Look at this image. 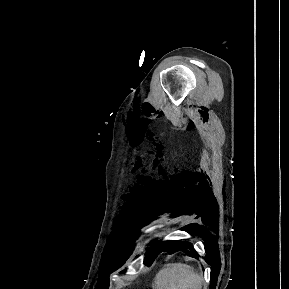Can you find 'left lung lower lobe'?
<instances>
[{
  "label": "left lung lower lobe",
  "mask_w": 289,
  "mask_h": 289,
  "mask_svg": "<svg viewBox=\"0 0 289 289\" xmlns=\"http://www.w3.org/2000/svg\"><path fill=\"white\" fill-rule=\"evenodd\" d=\"M166 246L162 249V251H168L170 253H173V252H176V251H179L183 248H192L191 244L190 243H186V242H180V241H177V242H172V241H167L165 242Z\"/></svg>",
  "instance_id": "0a47b994"
}]
</instances>
